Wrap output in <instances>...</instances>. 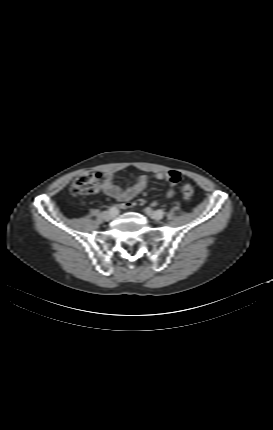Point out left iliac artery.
Returning a JSON list of instances; mask_svg holds the SVG:
<instances>
[{
    "label": "left iliac artery",
    "mask_w": 273,
    "mask_h": 430,
    "mask_svg": "<svg viewBox=\"0 0 273 430\" xmlns=\"http://www.w3.org/2000/svg\"><path fill=\"white\" fill-rule=\"evenodd\" d=\"M157 212L161 217H163L165 214V212L163 210H157Z\"/></svg>",
    "instance_id": "1"
}]
</instances>
